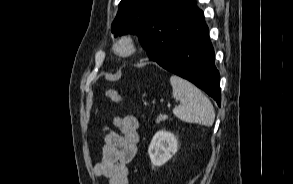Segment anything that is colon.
Listing matches in <instances>:
<instances>
[{
	"label": "colon",
	"instance_id": "colon-1",
	"mask_svg": "<svg viewBox=\"0 0 293 184\" xmlns=\"http://www.w3.org/2000/svg\"><path fill=\"white\" fill-rule=\"evenodd\" d=\"M105 95L107 98H109L112 102L117 103V104H124V98L120 93H118L114 89H107L105 91Z\"/></svg>",
	"mask_w": 293,
	"mask_h": 184
}]
</instances>
